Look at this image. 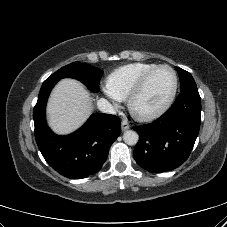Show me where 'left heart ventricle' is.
I'll use <instances>...</instances> for the list:
<instances>
[{
	"label": "left heart ventricle",
	"mask_w": 227,
	"mask_h": 227,
	"mask_svg": "<svg viewBox=\"0 0 227 227\" xmlns=\"http://www.w3.org/2000/svg\"><path fill=\"white\" fill-rule=\"evenodd\" d=\"M174 81L171 70L162 68L156 71L136 100V109L142 113H149L160 108L171 94Z\"/></svg>",
	"instance_id": "left-heart-ventricle-1"
}]
</instances>
